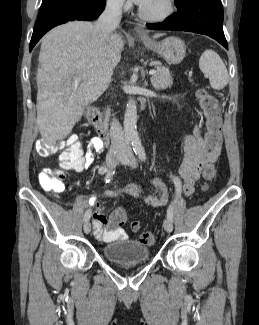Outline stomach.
<instances>
[{
  "label": "stomach",
  "mask_w": 259,
  "mask_h": 325,
  "mask_svg": "<svg viewBox=\"0 0 259 325\" xmlns=\"http://www.w3.org/2000/svg\"><path fill=\"white\" fill-rule=\"evenodd\" d=\"M144 45L159 53V55L169 64H179L186 55L184 41L178 37H167L160 42L143 40Z\"/></svg>",
  "instance_id": "0dacf381"
}]
</instances>
